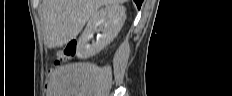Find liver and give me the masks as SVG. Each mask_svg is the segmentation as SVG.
<instances>
[{
    "label": "liver",
    "mask_w": 232,
    "mask_h": 96,
    "mask_svg": "<svg viewBox=\"0 0 232 96\" xmlns=\"http://www.w3.org/2000/svg\"><path fill=\"white\" fill-rule=\"evenodd\" d=\"M127 0H43L45 44L55 48L76 38L85 23L103 5Z\"/></svg>",
    "instance_id": "liver-1"
}]
</instances>
